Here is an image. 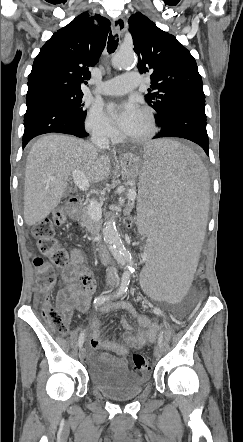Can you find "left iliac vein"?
<instances>
[{
    "mask_svg": "<svg viewBox=\"0 0 243 442\" xmlns=\"http://www.w3.org/2000/svg\"><path fill=\"white\" fill-rule=\"evenodd\" d=\"M162 353V349L161 346L156 345V347L154 348V355L156 358H159L161 356Z\"/></svg>",
    "mask_w": 243,
    "mask_h": 442,
    "instance_id": "1",
    "label": "left iliac vein"
}]
</instances>
